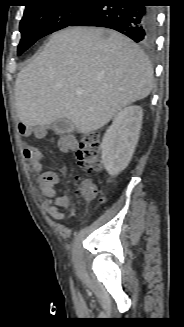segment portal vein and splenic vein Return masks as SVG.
I'll list each match as a JSON object with an SVG mask.
<instances>
[{"instance_id":"1","label":"portal vein and splenic vein","mask_w":184,"mask_h":327,"mask_svg":"<svg viewBox=\"0 0 184 327\" xmlns=\"http://www.w3.org/2000/svg\"><path fill=\"white\" fill-rule=\"evenodd\" d=\"M76 93H77L78 95H80V94H82V90L79 89V90L76 91Z\"/></svg>"}]
</instances>
